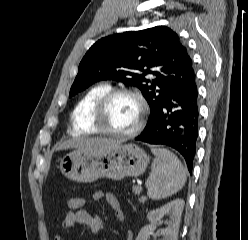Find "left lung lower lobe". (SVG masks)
Returning <instances> with one entry per match:
<instances>
[{
	"instance_id": "0a47b994",
	"label": "left lung lower lobe",
	"mask_w": 248,
	"mask_h": 240,
	"mask_svg": "<svg viewBox=\"0 0 248 240\" xmlns=\"http://www.w3.org/2000/svg\"><path fill=\"white\" fill-rule=\"evenodd\" d=\"M198 122V89L194 74L168 95L161 109L149 120L135 140L176 149L184 157L188 170L192 173Z\"/></svg>"
}]
</instances>
